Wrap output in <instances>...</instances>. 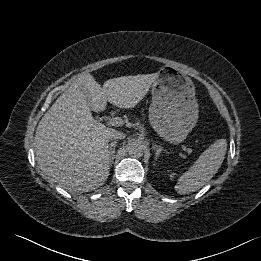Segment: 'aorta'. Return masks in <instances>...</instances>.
Here are the masks:
<instances>
[{
	"mask_svg": "<svg viewBox=\"0 0 261 261\" xmlns=\"http://www.w3.org/2000/svg\"><path fill=\"white\" fill-rule=\"evenodd\" d=\"M128 153L130 156H132L134 158L141 157L144 153V147H143L142 143L139 141H133V142L129 143Z\"/></svg>",
	"mask_w": 261,
	"mask_h": 261,
	"instance_id": "aorta-1",
	"label": "aorta"
}]
</instances>
